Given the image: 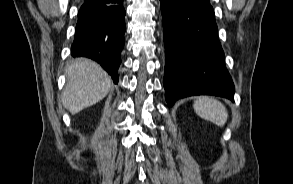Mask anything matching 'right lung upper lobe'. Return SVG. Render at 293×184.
Instances as JSON below:
<instances>
[{
	"label": "right lung upper lobe",
	"instance_id": "right-lung-upper-lobe-1",
	"mask_svg": "<svg viewBox=\"0 0 293 184\" xmlns=\"http://www.w3.org/2000/svg\"><path fill=\"white\" fill-rule=\"evenodd\" d=\"M85 3H91L95 5H105L108 4L111 0H84Z\"/></svg>",
	"mask_w": 293,
	"mask_h": 184
}]
</instances>
